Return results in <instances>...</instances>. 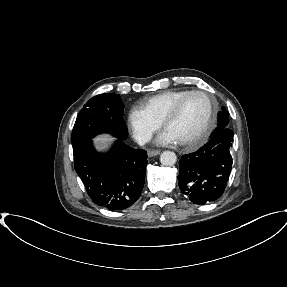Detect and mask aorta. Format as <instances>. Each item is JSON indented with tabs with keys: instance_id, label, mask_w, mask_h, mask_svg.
<instances>
[{
	"instance_id": "762f6f07",
	"label": "aorta",
	"mask_w": 287,
	"mask_h": 287,
	"mask_svg": "<svg viewBox=\"0 0 287 287\" xmlns=\"http://www.w3.org/2000/svg\"><path fill=\"white\" fill-rule=\"evenodd\" d=\"M176 161V154L172 151H164L160 155V162L164 166H173Z\"/></svg>"
}]
</instances>
